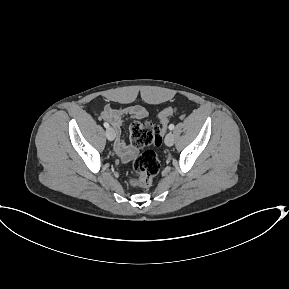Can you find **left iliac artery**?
Segmentation results:
<instances>
[{"label": "left iliac artery", "instance_id": "obj_1", "mask_svg": "<svg viewBox=\"0 0 289 289\" xmlns=\"http://www.w3.org/2000/svg\"><path fill=\"white\" fill-rule=\"evenodd\" d=\"M169 129H170V130H173V129H174V124H170V125H169Z\"/></svg>", "mask_w": 289, "mask_h": 289}]
</instances>
